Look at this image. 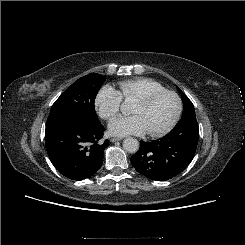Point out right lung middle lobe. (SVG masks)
I'll return each instance as SVG.
<instances>
[{"mask_svg":"<svg viewBox=\"0 0 245 245\" xmlns=\"http://www.w3.org/2000/svg\"><path fill=\"white\" fill-rule=\"evenodd\" d=\"M105 79L91 73L75 81L53 104L47 124L56 121H74L89 126L100 125L94 102Z\"/></svg>","mask_w":245,"mask_h":245,"instance_id":"right-lung-middle-lobe-1","label":"right lung middle lobe"}]
</instances>
